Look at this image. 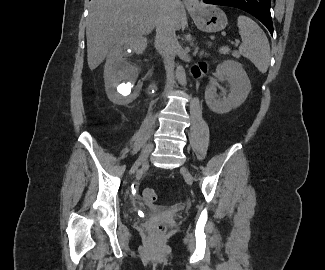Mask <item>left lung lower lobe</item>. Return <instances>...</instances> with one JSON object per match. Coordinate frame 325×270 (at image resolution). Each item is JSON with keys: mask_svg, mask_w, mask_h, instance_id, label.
<instances>
[{"mask_svg": "<svg viewBox=\"0 0 325 270\" xmlns=\"http://www.w3.org/2000/svg\"><path fill=\"white\" fill-rule=\"evenodd\" d=\"M204 3L230 6L242 9L260 20L273 36V23L271 19V0H203Z\"/></svg>", "mask_w": 325, "mask_h": 270, "instance_id": "obj_1", "label": "left lung lower lobe"}]
</instances>
